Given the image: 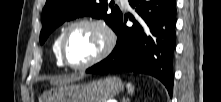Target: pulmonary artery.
<instances>
[{
    "instance_id": "1",
    "label": "pulmonary artery",
    "mask_w": 221,
    "mask_h": 102,
    "mask_svg": "<svg viewBox=\"0 0 221 102\" xmlns=\"http://www.w3.org/2000/svg\"><path fill=\"white\" fill-rule=\"evenodd\" d=\"M120 2L122 3V5L124 7H128L129 6L128 0H120Z\"/></svg>"
}]
</instances>
